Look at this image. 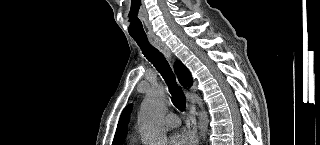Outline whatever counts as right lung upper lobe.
Returning a JSON list of instances; mask_svg holds the SVG:
<instances>
[{"label":"right lung upper lobe","instance_id":"cb5924a9","mask_svg":"<svg viewBox=\"0 0 320 145\" xmlns=\"http://www.w3.org/2000/svg\"><path fill=\"white\" fill-rule=\"evenodd\" d=\"M174 70L177 74L179 82L184 86H192L193 80L190 71L185 67V65L181 61H176L174 64ZM132 108V104L128 105L122 112L116 134L113 140V145H121L123 140L125 139L127 133V124L130 119V110Z\"/></svg>","mask_w":320,"mask_h":145}]
</instances>
